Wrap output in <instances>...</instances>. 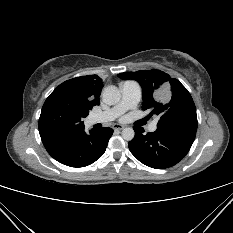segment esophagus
Masks as SVG:
<instances>
[{"label": "esophagus", "mask_w": 233, "mask_h": 233, "mask_svg": "<svg viewBox=\"0 0 233 233\" xmlns=\"http://www.w3.org/2000/svg\"><path fill=\"white\" fill-rule=\"evenodd\" d=\"M126 126L125 125H121V124H114L113 125V129L114 130H123Z\"/></svg>", "instance_id": "obj_1"}]
</instances>
